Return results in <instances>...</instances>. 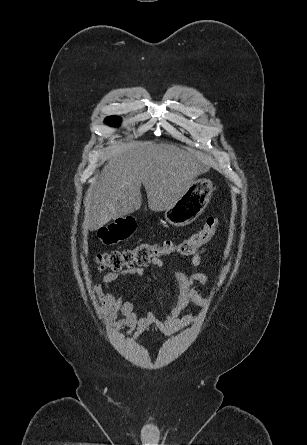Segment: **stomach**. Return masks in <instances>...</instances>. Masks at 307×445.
Segmentation results:
<instances>
[{
  "instance_id": "stomach-1",
  "label": "stomach",
  "mask_w": 307,
  "mask_h": 445,
  "mask_svg": "<svg viewBox=\"0 0 307 445\" xmlns=\"http://www.w3.org/2000/svg\"><path fill=\"white\" fill-rule=\"evenodd\" d=\"M210 178H196L176 202L166 208L165 220L174 227H185L204 212L213 192Z\"/></svg>"
}]
</instances>
